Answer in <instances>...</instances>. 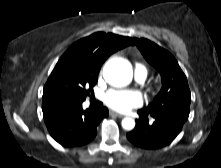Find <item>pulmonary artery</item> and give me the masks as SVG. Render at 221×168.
<instances>
[{"label": "pulmonary artery", "mask_w": 221, "mask_h": 168, "mask_svg": "<svg viewBox=\"0 0 221 168\" xmlns=\"http://www.w3.org/2000/svg\"><path fill=\"white\" fill-rule=\"evenodd\" d=\"M147 78V72L144 69L136 68L135 69V79L139 83H143Z\"/></svg>", "instance_id": "e3ab8cb5"}]
</instances>
